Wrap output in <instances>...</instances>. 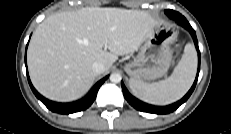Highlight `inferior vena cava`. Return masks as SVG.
Wrapping results in <instances>:
<instances>
[{
    "instance_id": "1",
    "label": "inferior vena cava",
    "mask_w": 231,
    "mask_h": 134,
    "mask_svg": "<svg viewBox=\"0 0 231 134\" xmlns=\"http://www.w3.org/2000/svg\"><path fill=\"white\" fill-rule=\"evenodd\" d=\"M92 70L96 75H98L104 72L105 66L102 62H95L92 65Z\"/></svg>"
}]
</instances>
